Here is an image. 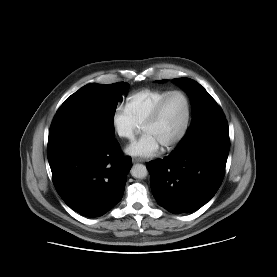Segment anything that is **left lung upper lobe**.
<instances>
[{
	"label": "left lung upper lobe",
	"mask_w": 277,
	"mask_h": 277,
	"mask_svg": "<svg viewBox=\"0 0 277 277\" xmlns=\"http://www.w3.org/2000/svg\"><path fill=\"white\" fill-rule=\"evenodd\" d=\"M172 82L188 93L193 108L192 123L181 144L203 127L226 121L221 108L199 83L189 78L173 79Z\"/></svg>",
	"instance_id": "5c2ea615"
}]
</instances>
